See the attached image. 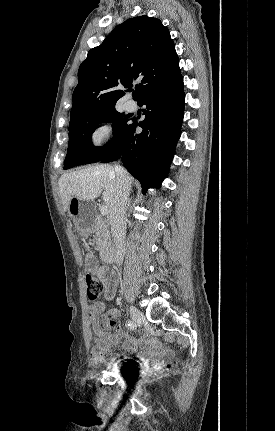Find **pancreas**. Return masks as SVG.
I'll return each instance as SVG.
<instances>
[{
	"instance_id": "obj_1",
	"label": "pancreas",
	"mask_w": 275,
	"mask_h": 431,
	"mask_svg": "<svg viewBox=\"0 0 275 431\" xmlns=\"http://www.w3.org/2000/svg\"><path fill=\"white\" fill-rule=\"evenodd\" d=\"M94 232L95 250L100 251L107 245L109 232L103 219L99 216L95 219Z\"/></svg>"
}]
</instances>
